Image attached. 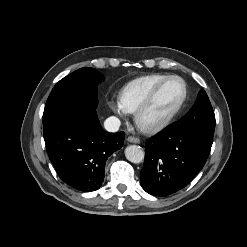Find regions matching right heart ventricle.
<instances>
[{"instance_id": "right-heart-ventricle-1", "label": "right heart ventricle", "mask_w": 247, "mask_h": 247, "mask_svg": "<svg viewBox=\"0 0 247 247\" xmlns=\"http://www.w3.org/2000/svg\"><path fill=\"white\" fill-rule=\"evenodd\" d=\"M168 75L151 74L138 77L123 86L119 102L126 113H135L152 89Z\"/></svg>"}]
</instances>
